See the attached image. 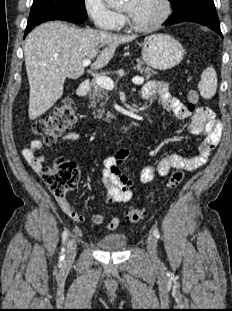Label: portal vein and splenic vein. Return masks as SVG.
<instances>
[{
	"label": "portal vein and splenic vein",
	"mask_w": 232,
	"mask_h": 311,
	"mask_svg": "<svg viewBox=\"0 0 232 311\" xmlns=\"http://www.w3.org/2000/svg\"><path fill=\"white\" fill-rule=\"evenodd\" d=\"M90 63H91L90 59H85V60H83L82 65L84 67H86ZM95 81L102 88H105V89H108V90H112L114 88V81L111 78H109V77L100 76V77H97ZM132 82L134 84H136V85H141L144 82V78L140 77V76H136V77L132 78Z\"/></svg>",
	"instance_id": "18ae733b"
}]
</instances>
